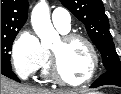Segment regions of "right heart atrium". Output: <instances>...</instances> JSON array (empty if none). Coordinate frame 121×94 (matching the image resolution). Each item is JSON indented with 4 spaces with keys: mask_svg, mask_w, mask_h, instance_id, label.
I'll return each instance as SVG.
<instances>
[{
    "mask_svg": "<svg viewBox=\"0 0 121 94\" xmlns=\"http://www.w3.org/2000/svg\"><path fill=\"white\" fill-rule=\"evenodd\" d=\"M48 53L32 31H22L11 49L15 72L23 79L34 76L47 62Z\"/></svg>",
    "mask_w": 121,
    "mask_h": 94,
    "instance_id": "right-heart-atrium-1",
    "label": "right heart atrium"
}]
</instances>
